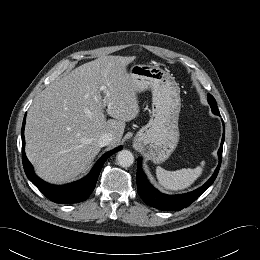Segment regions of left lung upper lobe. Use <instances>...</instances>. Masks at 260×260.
<instances>
[{
	"instance_id": "obj_1",
	"label": "left lung upper lobe",
	"mask_w": 260,
	"mask_h": 260,
	"mask_svg": "<svg viewBox=\"0 0 260 260\" xmlns=\"http://www.w3.org/2000/svg\"><path fill=\"white\" fill-rule=\"evenodd\" d=\"M208 103L211 106L212 112L216 115H219V110L217 108L216 101H215L214 97L210 94H208Z\"/></svg>"
}]
</instances>
